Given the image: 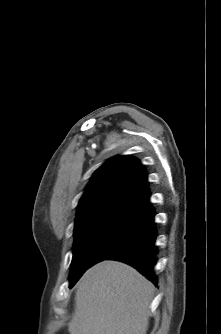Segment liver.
<instances>
[{"instance_id": "liver-1", "label": "liver", "mask_w": 221, "mask_h": 334, "mask_svg": "<svg viewBox=\"0 0 221 334\" xmlns=\"http://www.w3.org/2000/svg\"><path fill=\"white\" fill-rule=\"evenodd\" d=\"M154 286L131 266L103 261L77 284L70 334H146Z\"/></svg>"}]
</instances>
